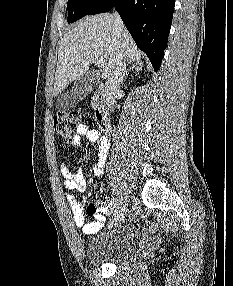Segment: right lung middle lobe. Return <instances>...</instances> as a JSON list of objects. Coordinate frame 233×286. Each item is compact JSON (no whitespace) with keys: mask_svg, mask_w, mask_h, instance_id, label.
Wrapping results in <instances>:
<instances>
[{"mask_svg":"<svg viewBox=\"0 0 233 286\" xmlns=\"http://www.w3.org/2000/svg\"><path fill=\"white\" fill-rule=\"evenodd\" d=\"M101 0H68V23L89 15Z\"/></svg>","mask_w":233,"mask_h":286,"instance_id":"obj_1","label":"right lung middle lobe"}]
</instances>
